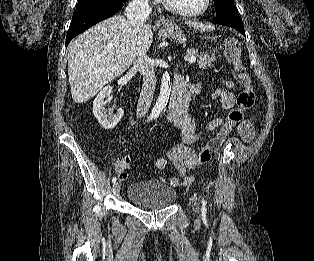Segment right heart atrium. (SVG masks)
Instances as JSON below:
<instances>
[{
	"mask_svg": "<svg viewBox=\"0 0 314 261\" xmlns=\"http://www.w3.org/2000/svg\"><path fill=\"white\" fill-rule=\"evenodd\" d=\"M143 1H155V0H143Z\"/></svg>",
	"mask_w": 314,
	"mask_h": 261,
	"instance_id": "1",
	"label": "right heart atrium"
}]
</instances>
